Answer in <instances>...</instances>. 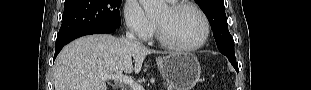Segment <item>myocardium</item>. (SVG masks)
<instances>
[{"mask_svg": "<svg viewBox=\"0 0 311 90\" xmlns=\"http://www.w3.org/2000/svg\"><path fill=\"white\" fill-rule=\"evenodd\" d=\"M182 8L192 9L193 11H195L200 16V18L203 22L204 32H203V35L198 42L191 44V45H184V46L174 44L166 38L160 24L157 21L155 22V25H156L157 40L162 46H164L167 49L176 51V52L186 53V52H192L194 50L199 49L200 47H202L207 42L209 35H210V22H209L208 17L206 16V14L200 8H198L196 5H194L190 2L181 1V2H177V3H173V4L168 6V10L171 13L177 12L178 10H180Z\"/></svg>", "mask_w": 311, "mask_h": 90, "instance_id": "obj_1", "label": "myocardium"}]
</instances>
